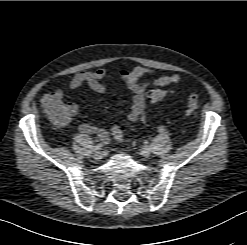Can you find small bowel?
Segmentation results:
<instances>
[{
    "instance_id": "1",
    "label": "small bowel",
    "mask_w": 247,
    "mask_h": 245,
    "mask_svg": "<svg viewBox=\"0 0 247 245\" xmlns=\"http://www.w3.org/2000/svg\"><path fill=\"white\" fill-rule=\"evenodd\" d=\"M111 73L108 68H98L94 71H80L72 76L69 80V87L71 89L79 88L86 84L88 87L98 93L106 94L108 86L104 83V79ZM118 75L121 77L126 88L131 92V107L128 111L127 118L130 121L140 120L142 123H148V116L146 112V91L150 86L165 87L170 84H176L181 81L179 74L158 76L152 81H142L145 76H154L155 69L150 67L137 66L131 70L120 69ZM53 101L64 102V93L57 89L53 92L47 93L42 99V105L46 107ZM69 119L67 123L74 118L79 112V106L76 103H66ZM78 130L82 134H94L104 144L110 140L109 133L99 126L82 123Z\"/></svg>"
}]
</instances>
